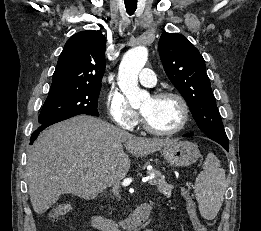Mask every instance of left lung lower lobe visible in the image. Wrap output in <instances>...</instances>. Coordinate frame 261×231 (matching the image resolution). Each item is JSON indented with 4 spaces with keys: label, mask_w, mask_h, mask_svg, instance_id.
<instances>
[{
    "label": "left lung lower lobe",
    "mask_w": 261,
    "mask_h": 231,
    "mask_svg": "<svg viewBox=\"0 0 261 231\" xmlns=\"http://www.w3.org/2000/svg\"><path fill=\"white\" fill-rule=\"evenodd\" d=\"M184 137H189V136H193V133H188V134H185L183 135ZM211 139V138H210ZM214 141H216L217 143H219L220 145H222L227 151H229V144H228V141H222V140H219V139H212Z\"/></svg>",
    "instance_id": "left-lung-lower-lobe-1"
}]
</instances>
